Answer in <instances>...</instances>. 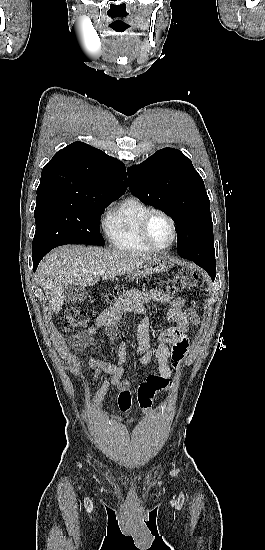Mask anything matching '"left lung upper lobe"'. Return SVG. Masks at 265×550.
<instances>
[{"label":"left lung upper lobe","instance_id":"5c2ea615","mask_svg":"<svg viewBox=\"0 0 265 550\" xmlns=\"http://www.w3.org/2000/svg\"><path fill=\"white\" fill-rule=\"evenodd\" d=\"M127 172L131 193L174 220L181 257L215 252L209 198L189 158L178 149L164 148Z\"/></svg>","mask_w":265,"mask_h":550}]
</instances>
